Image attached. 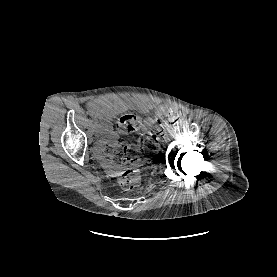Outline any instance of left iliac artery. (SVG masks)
Masks as SVG:
<instances>
[{"mask_svg": "<svg viewBox=\"0 0 277 277\" xmlns=\"http://www.w3.org/2000/svg\"><path fill=\"white\" fill-rule=\"evenodd\" d=\"M173 130H174L175 132H179V131H180V125H179V124L175 125V126L173 127Z\"/></svg>", "mask_w": 277, "mask_h": 277, "instance_id": "left-iliac-artery-1", "label": "left iliac artery"}]
</instances>
